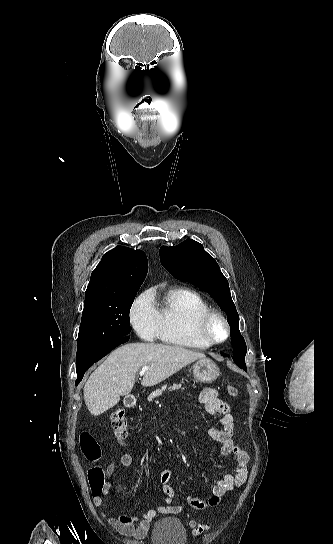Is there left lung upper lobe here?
<instances>
[{
	"label": "left lung upper lobe",
	"mask_w": 333,
	"mask_h": 544,
	"mask_svg": "<svg viewBox=\"0 0 333 544\" xmlns=\"http://www.w3.org/2000/svg\"><path fill=\"white\" fill-rule=\"evenodd\" d=\"M162 265L176 278H181L208 292L227 313L232 331L233 360L246 370V344L239 332V316L232 301L227 279L213 257L191 239L175 247H161Z\"/></svg>",
	"instance_id": "1"
}]
</instances>
